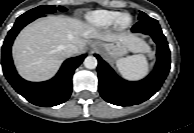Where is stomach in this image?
<instances>
[{"mask_svg": "<svg viewBox=\"0 0 194 133\" xmlns=\"http://www.w3.org/2000/svg\"><path fill=\"white\" fill-rule=\"evenodd\" d=\"M102 47L104 48L105 55L112 59H116L127 52V48L122 42L103 44Z\"/></svg>", "mask_w": 194, "mask_h": 133, "instance_id": "stomach-1", "label": "stomach"}]
</instances>
